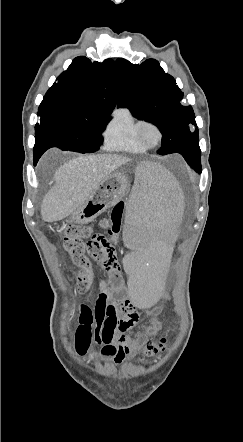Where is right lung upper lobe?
Masks as SVG:
<instances>
[{"mask_svg":"<svg viewBox=\"0 0 243 442\" xmlns=\"http://www.w3.org/2000/svg\"><path fill=\"white\" fill-rule=\"evenodd\" d=\"M118 92V73L113 60L91 62L76 57L44 96L80 112H108L115 107Z\"/></svg>","mask_w":243,"mask_h":442,"instance_id":"right-lung-upper-lobe-1","label":"right lung upper lobe"}]
</instances>
